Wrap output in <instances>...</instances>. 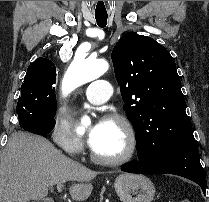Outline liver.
<instances>
[{
    "mask_svg": "<svg viewBox=\"0 0 209 202\" xmlns=\"http://www.w3.org/2000/svg\"><path fill=\"white\" fill-rule=\"evenodd\" d=\"M99 172L73 161L44 137L14 132L0 159V202H29L47 196L48 188L66 181L75 201H84L92 193Z\"/></svg>",
    "mask_w": 209,
    "mask_h": 202,
    "instance_id": "liver-1",
    "label": "liver"
}]
</instances>
